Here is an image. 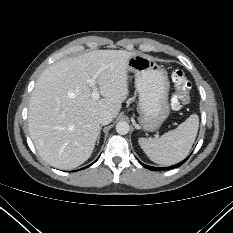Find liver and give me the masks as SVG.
<instances>
[{"instance_id": "obj_1", "label": "liver", "mask_w": 233, "mask_h": 233, "mask_svg": "<svg viewBox=\"0 0 233 233\" xmlns=\"http://www.w3.org/2000/svg\"><path fill=\"white\" fill-rule=\"evenodd\" d=\"M125 50H95L50 65L32 91L28 126L39 155L59 169H73L92 154L101 112L117 117L128 96ZM96 77L103 97L93 100L87 79Z\"/></svg>"}]
</instances>
